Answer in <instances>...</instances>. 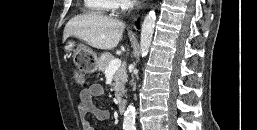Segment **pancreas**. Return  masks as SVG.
Instances as JSON below:
<instances>
[{
  "mask_svg": "<svg viewBox=\"0 0 257 130\" xmlns=\"http://www.w3.org/2000/svg\"><path fill=\"white\" fill-rule=\"evenodd\" d=\"M114 59V56L110 54L109 52L103 53L100 58L98 59V69L102 71L103 73L106 72V69L108 68L111 60ZM127 81V72H126V66L122 65L120 66L113 75V88L115 91V97L120 98L122 94L124 93V86Z\"/></svg>",
  "mask_w": 257,
  "mask_h": 130,
  "instance_id": "1",
  "label": "pancreas"
}]
</instances>
